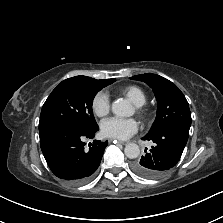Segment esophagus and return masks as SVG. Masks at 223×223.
Listing matches in <instances>:
<instances>
[{
	"instance_id": "1",
	"label": "esophagus",
	"mask_w": 223,
	"mask_h": 223,
	"mask_svg": "<svg viewBox=\"0 0 223 223\" xmlns=\"http://www.w3.org/2000/svg\"><path fill=\"white\" fill-rule=\"evenodd\" d=\"M109 142H118L119 144H122V145H125L127 143L125 141H117V140H113V139H110Z\"/></svg>"
}]
</instances>
